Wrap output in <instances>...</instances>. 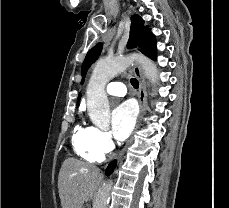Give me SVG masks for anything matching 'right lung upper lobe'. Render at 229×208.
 Instances as JSON below:
<instances>
[{
  "mask_svg": "<svg viewBox=\"0 0 229 208\" xmlns=\"http://www.w3.org/2000/svg\"><path fill=\"white\" fill-rule=\"evenodd\" d=\"M80 97H81V94H79L77 102H79V100H80Z\"/></svg>",
  "mask_w": 229,
  "mask_h": 208,
  "instance_id": "right-lung-upper-lobe-1",
  "label": "right lung upper lobe"
}]
</instances>
